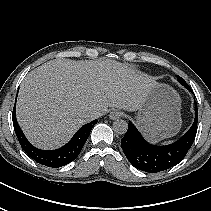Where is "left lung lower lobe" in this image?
<instances>
[{
    "label": "left lung lower lobe",
    "instance_id": "obj_1",
    "mask_svg": "<svg viewBox=\"0 0 211 211\" xmlns=\"http://www.w3.org/2000/svg\"><path fill=\"white\" fill-rule=\"evenodd\" d=\"M181 84L193 93L187 83ZM194 102L195 118L192 126L183 137L169 145L156 146L149 144L136 127L131 122L128 123V130L121 140V147L127 159L135 168L155 173L167 170L183 160L197 133L198 110L197 103Z\"/></svg>",
    "mask_w": 211,
    "mask_h": 211
}]
</instances>
